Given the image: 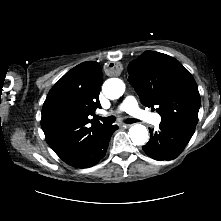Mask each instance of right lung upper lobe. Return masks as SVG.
<instances>
[{"label":"right lung upper lobe","instance_id":"obj_1","mask_svg":"<svg viewBox=\"0 0 221 221\" xmlns=\"http://www.w3.org/2000/svg\"><path fill=\"white\" fill-rule=\"evenodd\" d=\"M102 71L97 62L81 63L67 72L49 91L43 104L41 126L49 146L65 160L105 124L95 120Z\"/></svg>","mask_w":221,"mask_h":221}]
</instances>
